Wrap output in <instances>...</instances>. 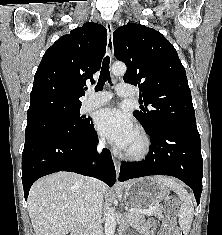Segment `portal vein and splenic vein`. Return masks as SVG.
I'll list each match as a JSON object with an SVG mask.
<instances>
[{
  "instance_id": "portal-vein-and-splenic-vein-1",
  "label": "portal vein and splenic vein",
  "mask_w": 222,
  "mask_h": 235,
  "mask_svg": "<svg viewBox=\"0 0 222 235\" xmlns=\"http://www.w3.org/2000/svg\"><path fill=\"white\" fill-rule=\"evenodd\" d=\"M156 209H158V207L154 206V207H151L149 209H140V210H138V212L142 213V214H151V213L155 212ZM126 210H128L129 212L134 211V209H126Z\"/></svg>"
}]
</instances>
